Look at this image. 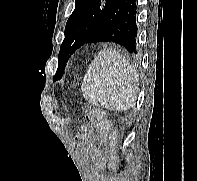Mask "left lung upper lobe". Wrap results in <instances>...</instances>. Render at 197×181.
<instances>
[{"label":"left lung upper lobe","instance_id":"obj_1","mask_svg":"<svg viewBox=\"0 0 197 181\" xmlns=\"http://www.w3.org/2000/svg\"><path fill=\"white\" fill-rule=\"evenodd\" d=\"M113 0H76L75 9L65 27V39L58 55V69L54 80L62 78L66 62L81 46L88 42L99 21Z\"/></svg>","mask_w":197,"mask_h":181}]
</instances>
